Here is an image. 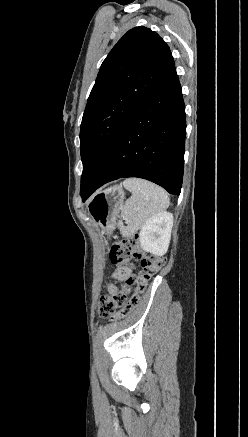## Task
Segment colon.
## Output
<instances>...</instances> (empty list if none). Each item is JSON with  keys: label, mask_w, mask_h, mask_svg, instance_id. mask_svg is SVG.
I'll list each match as a JSON object with an SVG mask.
<instances>
[{"label": "colon", "mask_w": 248, "mask_h": 437, "mask_svg": "<svg viewBox=\"0 0 248 437\" xmlns=\"http://www.w3.org/2000/svg\"><path fill=\"white\" fill-rule=\"evenodd\" d=\"M110 260L114 265H130L134 260H138L141 266L140 274L129 277L121 292L111 296L102 295L99 299L100 315L116 321L126 318L137 307L148 281L165 265V258L140 253L137 238L130 237L112 246ZM132 285H135V290L129 294Z\"/></svg>", "instance_id": "1"}]
</instances>
